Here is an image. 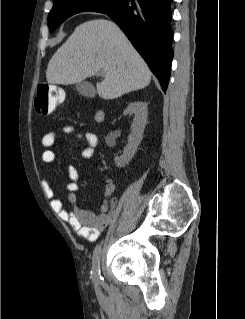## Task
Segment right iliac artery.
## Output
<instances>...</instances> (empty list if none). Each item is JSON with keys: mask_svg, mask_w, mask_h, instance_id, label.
<instances>
[{"mask_svg": "<svg viewBox=\"0 0 245 319\" xmlns=\"http://www.w3.org/2000/svg\"><path fill=\"white\" fill-rule=\"evenodd\" d=\"M100 257H101V245H97L93 252V261H92V276H93V281L96 284H99L102 281V277L100 274Z\"/></svg>", "mask_w": 245, "mask_h": 319, "instance_id": "right-iliac-artery-1", "label": "right iliac artery"}]
</instances>
